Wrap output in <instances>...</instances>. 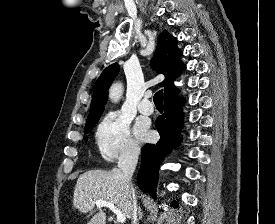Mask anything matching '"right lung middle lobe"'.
Returning a JSON list of instances; mask_svg holds the SVG:
<instances>
[{
	"label": "right lung middle lobe",
	"mask_w": 275,
	"mask_h": 224,
	"mask_svg": "<svg viewBox=\"0 0 275 224\" xmlns=\"http://www.w3.org/2000/svg\"><path fill=\"white\" fill-rule=\"evenodd\" d=\"M98 120H99V119H97V120H95V121H92V122L86 124V126H85V131H84V132H85V133L91 132L92 129H93V127H94V125L96 124V122H97ZM84 139L86 140V137H84Z\"/></svg>",
	"instance_id": "dd1d6c3e"
}]
</instances>
